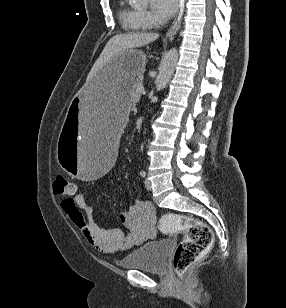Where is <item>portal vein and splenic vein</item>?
Segmentation results:
<instances>
[{
  "label": "portal vein and splenic vein",
  "mask_w": 286,
  "mask_h": 308,
  "mask_svg": "<svg viewBox=\"0 0 286 308\" xmlns=\"http://www.w3.org/2000/svg\"><path fill=\"white\" fill-rule=\"evenodd\" d=\"M141 93L144 95L146 92L145 90L142 88Z\"/></svg>",
  "instance_id": "obj_1"
}]
</instances>
